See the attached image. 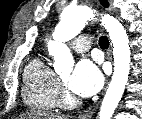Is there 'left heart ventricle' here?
<instances>
[{
	"label": "left heart ventricle",
	"instance_id": "obj_1",
	"mask_svg": "<svg viewBox=\"0 0 142 119\" xmlns=\"http://www.w3.org/2000/svg\"><path fill=\"white\" fill-rule=\"evenodd\" d=\"M63 80L67 81L68 80V76H63Z\"/></svg>",
	"mask_w": 142,
	"mask_h": 119
}]
</instances>
